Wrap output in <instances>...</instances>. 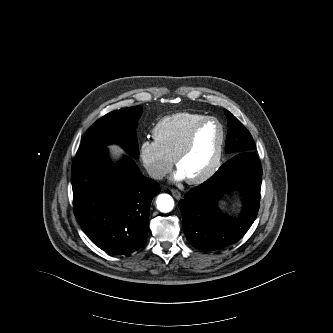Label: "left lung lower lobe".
Here are the masks:
<instances>
[{"instance_id": "left-lung-lower-lobe-1", "label": "left lung lower lobe", "mask_w": 333, "mask_h": 333, "mask_svg": "<svg viewBox=\"0 0 333 333\" xmlns=\"http://www.w3.org/2000/svg\"><path fill=\"white\" fill-rule=\"evenodd\" d=\"M261 179L260 161L253 151H247L235 154L211 178L188 191L179 208L189 243L212 251L239 241L257 216ZM234 187L241 189L244 203L238 219L223 216L216 208L217 198Z\"/></svg>"}]
</instances>
